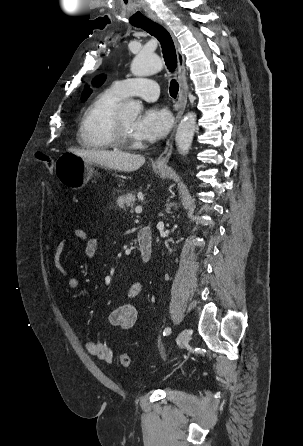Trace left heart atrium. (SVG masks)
<instances>
[{"mask_svg":"<svg viewBox=\"0 0 303 446\" xmlns=\"http://www.w3.org/2000/svg\"><path fill=\"white\" fill-rule=\"evenodd\" d=\"M172 125L170 112L165 108L150 107L135 122L133 136L140 140L164 138Z\"/></svg>","mask_w":303,"mask_h":446,"instance_id":"left-heart-atrium-1","label":"left heart atrium"}]
</instances>
